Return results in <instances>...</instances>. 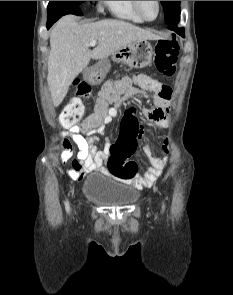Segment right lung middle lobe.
I'll list each match as a JSON object with an SVG mask.
<instances>
[{
	"mask_svg": "<svg viewBox=\"0 0 233 295\" xmlns=\"http://www.w3.org/2000/svg\"><path fill=\"white\" fill-rule=\"evenodd\" d=\"M85 1H49L48 12L65 10L69 6H80Z\"/></svg>",
	"mask_w": 233,
	"mask_h": 295,
	"instance_id": "obj_1",
	"label": "right lung middle lobe"
}]
</instances>
